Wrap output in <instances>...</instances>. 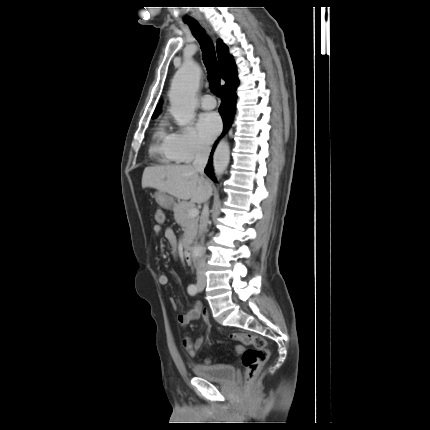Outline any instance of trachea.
<instances>
[{
    "label": "trachea",
    "mask_w": 430,
    "mask_h": 430,
    "mask_svg": "<svg viewBox=\"0 0 430 430\" xmlns=\"http://www.w3.org/2000/svg\"><path fill=\"white\" fill-rule=\"evenodd\" d=\"M194 37L200 43L204 64L208 71L210 89L216 95H220V68L217 63L216 54L212 41L205 36L204 30L198 23H188Z\"/></svg>",
    "instance_id": "3493384b"
}]
</instances>
